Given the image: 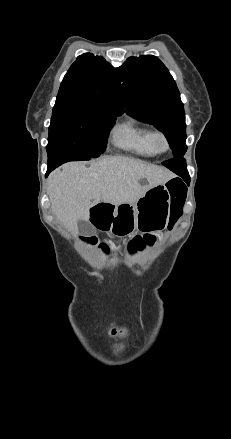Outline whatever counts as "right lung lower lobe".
I'll return each mask as SVG.
<instances>
[{
  "label": "right lung lower lobe",
  "mask_w": 231,
  "mask_h": 439,
  "mask_svg": "<svg viewBox=\"0 0 231 439\" xmlns=\"http://www.w3.org/2000/svg\"><path fill=\"white\" fill-rule=\"evenodd\" d=\"M58 165H60V163H58V162H54V163L48 162V170H47V173H46V177H47L48 174H49L54 168H56Z\"/></svg>",
  "instance_id": "obj_1"
}]
</instances>
